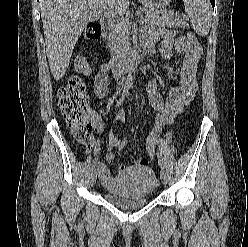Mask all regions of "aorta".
Returning a JSON list of instances; mask_svg holds the SVG:
<instances>
[{
  "label": "aorta",
  "mask_w": 248,
  "mask_h": 247,
  "mask_svg": "<svg viewBox=\"0 0 248 247\" xmlns=\"http://www.w3.org/2000/svg\"><path fill=\"white\" fill-rule=\"evenodd\" d=\"M133 71H134V68L131 67L130 71L127 75V79H126V85L127 86H131L133 84V80H134Z\"/></svg>",
  "instance_id": "762f6f07"
}]
</instances>
